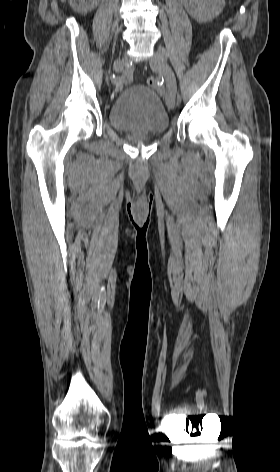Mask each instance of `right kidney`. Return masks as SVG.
<instances>
[{
  "label": "right kidney",
  "mask_w": 280,
  "mask_h": 472,
  "mask_svg": "<svg viewBox=\"0 0 280 472\" xmlns=\"http://www.w3.org/2000/svg\"><path fill=\"white\" fill-rule=\"evenodd\" d=\"M77 2L75 8L82 13H88L98 6L99 0H77Z\"/></svg>",
  "instance_id": "right-kidney-1"
}]
</instances>
